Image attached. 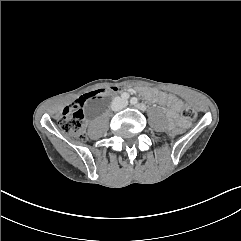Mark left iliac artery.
<instances>
[{"label": "left iliac artery", "mask_w": 241, "mask_h": 241, "mask_svg": "<svg viewBox=\"0 0 241 241\" xmlns=\"http://www.w3.org/2000/svg\"><path fill=\"white\" fill-rule=\"evenodd\" d=\"M130 103L132 105H136L138 103V99L136 97L131 98Z\"/></svg>", "instance_id": "44dca946"}]
</instances>
